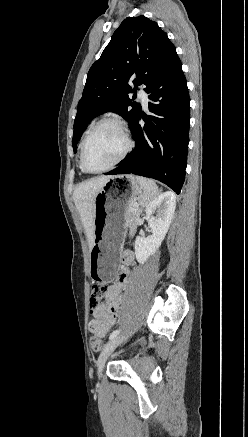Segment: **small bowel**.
Instances as JSON below:
<instances>
[{
	"label": "small bowel",
	"instance_id": "small-bowel-1",
	"mask_svg": "<svg viewBox=\"0 0 248 437\" xmlns=\"http://www.w3.org/2000/svg\"><path fill=\"white\" fill-rule=\"evenodd\" d=\"M122 260L125 264L117 281L110 286L105 295L104 302L93 307L94 319L90 324V331L99 337H105L117 325L118 320L123 312L124 299L123 290L125 289L130 270L128 265L133 260V253L125 250L122 253ZM94 324V325H93Z\"/></svg>",
	"mask_w": 248,
	"mask_h": 437
}]
</instances>
